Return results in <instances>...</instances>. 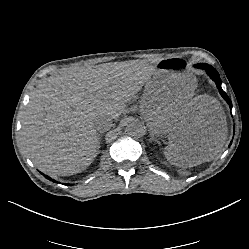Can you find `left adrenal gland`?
<instances>
[{"mask_svg": "<svg viewBox=\"0 0 249 249\" xmlns=\"http://www.w3.org/2000/svg\"><path fill=\"white\" fill-rule=\"evenodd\" d=\"M150 141H155L158 144V140H156L155 138L151 137ZM159 145V144H158Z\"/></svg>", "mask_w": 249, "mask_h": 249, "instance_id": "obj_1", "label": "left adrenal gland"}]
</instances>
